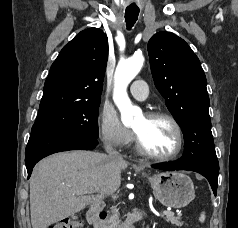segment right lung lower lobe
I'll return each mask as SVG.
<instances>
[{
	"label": "right lung lower lobe",
	"mask_w": 238,
	"mask_h": 228,
	"mask_svg": "<svg viewBox=\"0 0 238 228\" xmlns=\"http://www.w3.org/2000/svg\"><path fill=\"white\" fill-rule=\"evenodd\" d=\"M97 144V138L81 133L33 132L25 151L28 178L35 164L50 154L68 150H91Z\"/></svg>",
	"instance_id": "right-lung-lower-lobe-1"
}]
</instances>
